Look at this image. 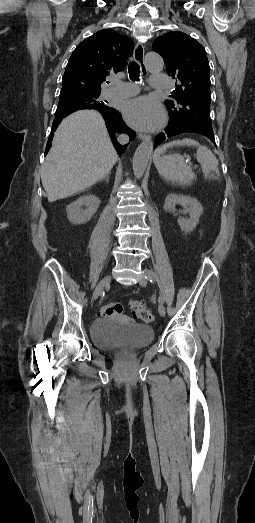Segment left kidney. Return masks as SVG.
<instances>
[{
    "label": "left kidney",
    "mask_w": 255,
    "mask_h": 523,
    "mask_svg": "<svg viewBox=\"0 0 255 523\" xmlns=\"http://www.w3.org/2000/svg\"><path fill=\"white\" fill-rule=\"evenodd\" d=\"M176 204H181L185 208V212L190 214V218H178V224L182 232H192L195 230L199 218L203 212V208L197 198H190V196H176V194H168L165 198L164 210L166 212H173L175 210Z\"/></svg>",
    "instance_id": "5707ae66"
}]
</instances>
